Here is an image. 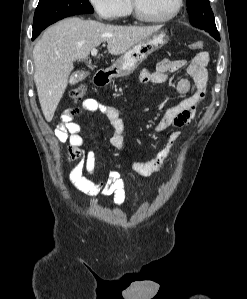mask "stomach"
<instances>
[{"label":"stomach","instance_id":"obj_1","mask_svg":"<svg viewBox=\"0 0 247 299\" xmlns=\"http://www.w3.org/2000/svg\"><path fill=\"white\" fill-rule=\"evenodd\" d=\"M169 37L165 30L153 33L127 50L111 68L113 77H123L133 73L138 66L157 49L166 45Z\"/></svg>","mask_w":247,"mask_h":299}]
</instances>
